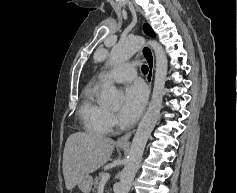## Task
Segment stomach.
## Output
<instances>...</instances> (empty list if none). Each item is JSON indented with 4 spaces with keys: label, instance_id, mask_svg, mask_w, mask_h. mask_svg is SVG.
Masks as SVG:
<instances>
[{
    "label": "stomach",
    "instance_id": "0dacf381",
    "mask_svg": "<svg viewBox=\"0 0 237 193\" xmlns=\"http://www.w3.org/2000/svg\"><path fill=\"white\" fill-rule=\"evenodd\" d=\"M120 148H124L123 146H120ZM93 184V178L88 174L84 176V178L78 182V187L83 193H89Z\"/></svg>",
    "mask_w": 237,
    "mask_h": 193
}]
</instances>
